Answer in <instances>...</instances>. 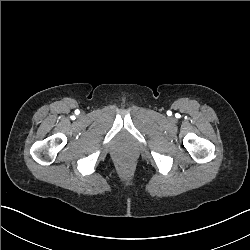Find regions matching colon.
Here are the masks:
<instances>
[{
    "mask_svg": "<svg viewBox=\"0 0 250 250\" xmlns=\"http://www.w3.org/2000/svg\"><path fill=\"white\" fill-rule=\"evenodd\" d=\"M136 170V163L132 159H123L119 161L117 171L121 176H127L134 174Z\"/></svg>",
    "mask_w": 250,
    "mask_h": 250,
    "instance_id": "colon-1",
    "label": "colon"
}]
</instances>
